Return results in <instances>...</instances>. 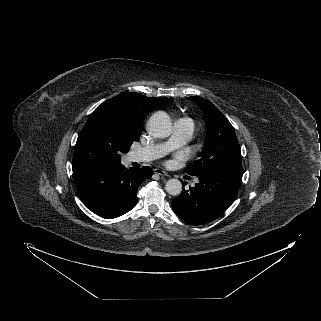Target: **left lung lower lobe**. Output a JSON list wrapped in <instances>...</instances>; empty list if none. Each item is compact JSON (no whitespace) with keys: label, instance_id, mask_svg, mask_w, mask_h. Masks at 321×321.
<instances>
[{"label":"left lung lower lobe","instance_id":"0a47b994","mask_svg":"<svg viewBox=\"0 0 321 321\" xmlns=\"http://www.w3.org/2000/svg\"><path fill=\"white\" fill-rule=\"evenodd\" d=\"M243 168H221L198 175L199 183L172 201L174 212L192 225L218 218L233 203L238 193ZM185 182H183V186Z\"/></svg>","mask_w":321,"mask_h":321}]
</instances>
